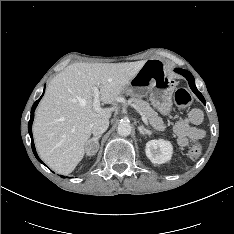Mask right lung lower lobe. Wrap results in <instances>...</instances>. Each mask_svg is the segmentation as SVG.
<instances>
[{"label": "right lung lower lobe", "instance_id": "1", "mask_svg": "<svg viewBox=\"0 0 234 234\" xmlns=\"http://www.w3.org/2000/svg\"><path fill=\"white\" fill-rule=\"evenodd\" d=\"M43 94H44V92H43ZM43 94H42V96H43ZM41 97L32 106L31 117H30V121L28 123V131H29V134H30V137H31V145H32L33 153L36 156V158L42 163V161L39 159V157H38V155L36 153V150H35V147H34V142H33V136H32V123H33V119H34V111H35V109H36V107L38 105V102L40 101Z\"/></svg>", "mask_w": 234, "mask_h": 234}]
</instances>
